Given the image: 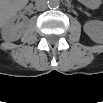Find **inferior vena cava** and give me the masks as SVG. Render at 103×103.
I'll use <instances>...</instances> for the list:
<instances>
[{
  "mask_svg": "<svg viewBox=\"0 0 103 103\" xmlns=\"http://www.w3.org/2000/svg\"><path fill=\"white\" fill-rule=\"evenodd\" d=\"M35 8L38 11H44L47 8V2L45 0H37L35 3Z\"/></svg>",
  "mask_w": 103,
  "mask_h": 103,
  "instance_id": "602c4592",
  "label": "inferior vena cava"
}]
</instances>
